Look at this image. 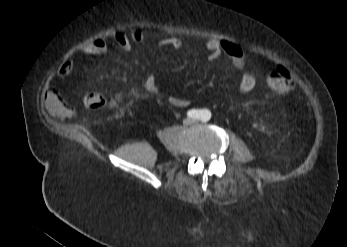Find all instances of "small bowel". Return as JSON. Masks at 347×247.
<instances>
[{
	"mask_svg": "<svg viewBox=\"0 0 347 247\" xmlns=\"http://www.w3.org/2000/svg\"><path fill=\"white\" fill-rule=\"evenodd\" d=\"M146 38V34L139 29H133L129 34L123 31H116L112 35V40L125 51L130 50L133 46L143 45ZM157 45L159 47L177 50L182 47V41L177 37H166L158 40ZM205 47L208 51V59L210 61H216L222 56H227L236 71L243 70L246 64V57L239 45L230 41L212 38L207 40ZM79 51L84 55H105L108 53L109 47L104 38H96L84 43ZM72 69V62L66 61L59 68V75L67 76L71 73ZM255 87L256 78L252 73L241 74L238 88L242 93H249ZM143 89L150 94L158 95L160 86L157 78L154 75H148L144 80ZM168 102L173 107L183 108L189 105L190 100L172 96L168 99ZM45 103L51 114L57 118L68 119L75 113L73 107L62 101L53 88L48 89Z\"/></svg>",
	"mask_w": 347,
	"mask_h": 247,
	"instance_id": "obj_1",
	"label": "small bowel"
}]
</instances>
